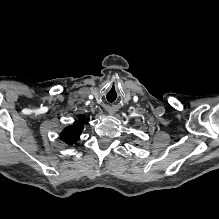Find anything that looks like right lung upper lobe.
<instances>
[{
	"label": "right lung upper lobe",
	"mask_w": 219,
	"mask_h": 219,
	"mask_svg": "<svg viewBox=\"0 0 219 219\" xmlns=\"http://www.w3.org/2000/svg\"><path fill=\"white\" fill-rule=\"evenodd\" d=\"M85 118H81L79 122H75L74 125L66 127L60 135L61 140L65 143L72 145L77 142L83 130Z\"/></svg>",
	"instance_id": "1"
}]
</instances>
